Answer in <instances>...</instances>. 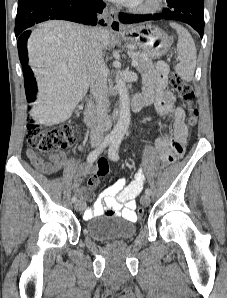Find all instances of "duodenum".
<instances>
[{"label":"duodenum","instance_id":"duodenum-1","mask_svg":"<svg viewBox=\"0 0 227 298\" xmlns=\"http://www.w3.org/2000/svg\"><path fill=\"white\" fill-rule=\"evenodd\" d=\"M130 107L133 111H139L143 107H145V101L140 95H137L131 100ZM95 121H96L95 109L93 104L89 102L85 110V122L87 123V125L93 126L95 124Z\"/></svg>","mask_w":227,"mask_h":298}]
</instances>
